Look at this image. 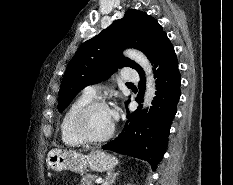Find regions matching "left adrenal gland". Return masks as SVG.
<instances>
[{
	"label": "left adrenal gland",
	"mask_w": 233,
	"mask_h": 185,
	"mask_svg": "<svg viewBox=\"0 0 233 185\" xmlns=\"http://www.w3.org/2000/svg\"><path fill=\"white\" fill-rule=\"evenodd\" d=\"M119 172H111L104 180L102 185H113Z\"/></svg>",
	"instance_id": "1"
}]
</instances>
